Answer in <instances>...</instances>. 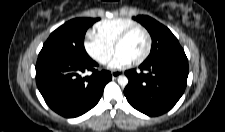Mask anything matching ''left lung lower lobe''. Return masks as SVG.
Wrapping results in <instances>:
<instances>
[{"label": "left lung lower lobe", "mask_w": 225, "mask_h": 132, "mask_svg": "<svg viewBox=\"0 0 225 132\" xmlns=\"http://www.w3.org/2000/svg\"><path fill=\"white\" fill-rule=\"evenodd\" d=\"M140 71L125 72L129 83L124 94L129 104L148 116L169 111L182 96L189 73L186 55L144 61Z\"/></svg>", "instance_id": "1"}]
</instances>
